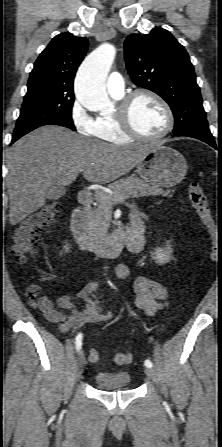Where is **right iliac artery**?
<instances>
[{
  "instance_id": "right-iliac-artery-1",
  "label": "right iliac artery",
  "mask_w": 222,
  "mask_h": 447,
  "mask_svg": "<svg viewBox=\"0 0 222 447\" xmlns=\"http://www.w3.org/2000/svg\"><path fill=\"white\" fill-rule=\"evenodd\" d=\"M75 340H76L75 341L76 350L79 351L81 349V346H82V333H79L76 336Z\"/></svg>"
}]
</instances>
